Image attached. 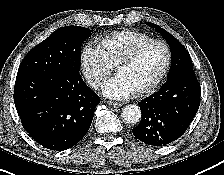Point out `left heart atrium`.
<instances>
[{
	"mask_svg": "<svg viewBox=\"0 0 224 175\" xmlns=\"http://www.w3.org/2000/svg\"><path fill=\"white\" fill-rule=\"evenodd\" d=\"M102 93L109 98L125 99L132 96L135 91L119 74H116L102 85Z\"/></svg>",
	"mask_w": 224,
	"mask_h": 175,
	"instance_id": "obj_1",
	"label": "left heart atrium"
}]
</instances>
